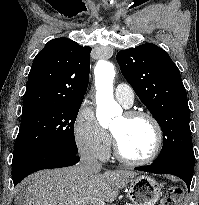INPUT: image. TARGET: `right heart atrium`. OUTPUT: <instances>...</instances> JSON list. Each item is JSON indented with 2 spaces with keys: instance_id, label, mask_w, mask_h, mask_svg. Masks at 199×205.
Returning a JSON list of instances; mask_svg holds the SVG:
<instances>
[{
  "instance_id": "d8ad5b80",
  "label": "right heart atrium",
  "mask_w": 199,
  "mask_h": 205,
  "mask_svg": "<svg viewBox=\"0 0 199 205\" xmlns=\"http://www.w3.org/2000/svg\"><path fill=\"white\" fill-rule=\"evenodd\" d=\"M74 139L78 151L86 157L105 160L109 155L110 135L99 124L94 109L85 103L74 122Z\"/></svg>"
}]
</instances>
